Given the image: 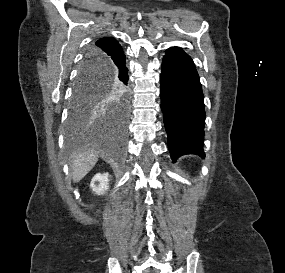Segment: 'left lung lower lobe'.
<instances>
[{
	"mask_svg": "<svg viewBox=\"0 0 285 273\" xmlns=\"http://www.w3.org/2000/svg\"><path fill=\"white\" fill-rule=\"evenodd\" d=\"M161 107L173 160L184 154L205 157L204 96L199 75L189 55L169 48L162 62Z\"/></svg>",
	"mask_w": 285,
	"mask_h": 273,
	"instance_id": "1",
	"label": "left lung lower lobe"
}]
</instances>
